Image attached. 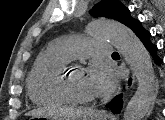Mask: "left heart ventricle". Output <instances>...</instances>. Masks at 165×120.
Here are the masks:
<instances>
[{"instance_id":"obj_1","label":"left heart ventricle","mask_w":165,"mask_h":120,"mask_svg":"<svg viewBox=\"0 0 165 120\" xmlns=\"http://www.w3.org/2000/svg\"><path fill=\"white\" fill-rule=\"evenodd\" d=\"M70 84L72 89L80 96L96 97L93 88L88 80L87 72L84 69L73 68L70 71Z\"/></svg>"}]
</instances>
